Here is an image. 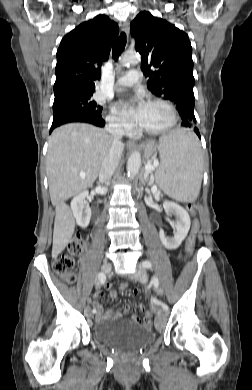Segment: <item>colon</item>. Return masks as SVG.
<instances>
[{"label": "colon", "mask_w": 252, "mask_h": 390, "mask_svg": "<svg viewBox=\"0 0 252 390\" xmlns=\"http://www.w3.org/2000/svg\"><path fill=\"white\" fill-rule=\"evenodd\" d=\"M187 209L192 215H195L196 206L194 204H188ZM199 228V222L194 220L186 244V251L188 254H191L194 250ZM84 245L85 240L80 236H75L69 242L67 252L59 254L54 260L53 268L55 272L68 283H71L74 280L75 257L83 251ZM124 288H127L126 284L122 286V289ZM137 292V289L133 290L134 294H137ZM143 320L145 325H150L152 320L151 312L146 311Z\"/></svg>", "instance_id": "1"}]
</instances>
